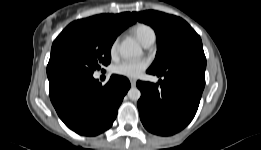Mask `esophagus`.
Masks as SVG:
<instances>
[{
  "label": "esophagus",
  "instance_id": "esophagus-1",
  "mask_svg": "<svg viewBox=\"0 0 261 150\" xmlns=\"http://www.w3.org/2000/svg\"><path fill=\"white\" fill-rule=\"evenodd\" d=\"M130 83L132 87L136 86V80L135 79H130Z\"/></svg>",
  "mask_w": 261,
  "mask_h": 150
}]
</instances>
